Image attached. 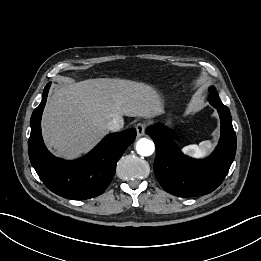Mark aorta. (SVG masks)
Segmentation results:
<instances>
[{
  "mask_svg": "<svg viewBox=\"0 0 261 261\" xmlns=\"http://www.w3.org/2000/svg\"><path fill=\"white\" fill-rule=\"evenodd\" d=\"M137 153L141 156H150L154 153L155 145L147 138H141L136 144Z\"/></svg>",
  "mask_w": 261,
  "mask_h": 261,
  "instance_id": "obj_1",
  "label": "aorta"
}]
</instances>
